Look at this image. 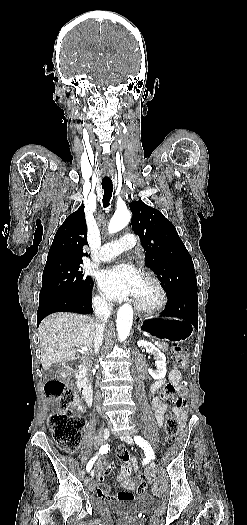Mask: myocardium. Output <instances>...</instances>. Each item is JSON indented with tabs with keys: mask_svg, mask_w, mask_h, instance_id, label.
Listing matches in <instances>:
<instances>
[{
	"mask_svg": "<svg viewBox=\"0 0 247 525\" xmlns=\"http://www.w3.org/2000/svg\"><path fill=\"white\" fill-rule=\"evenodd\" d=\"M142 276L144 278L150 279L153 282V284L155 285V287L157 288V290L159 292V299L157 301H155V302H150V303H145V302H142V301L137 299L135 301V304H136L137 307H139L142 311H144L146 313H151V312L158 311L159 309L162 308V306L166 302L165 290H164L160 280L156 277V275L154 273L149 272V271H143L142 272Z\"/></svg>",
	"mask_w": 247,
	"mask_h": 525,
	"instance_id": "obj_1",
	"label": "myocardium"
}]
</instances>
